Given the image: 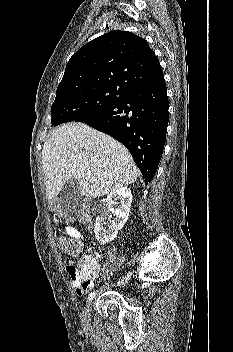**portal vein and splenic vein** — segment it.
Returning <instances> with one entry per match:
<instances>
[{"label":"portal vein and splenic vein","mask_w":233,"mask_h":352,"mask_svg":"<svg viewBox=\"0 0 233 352\" xmlns=\"http://www.w3.org/2000/svg\"><path fill=\"white\" fill-rule=\"evenodd\" d=\"M86 173H87L88 175H90V174H91V171H90V170H87Z\"/></svg>","instance_id":"obj_1"}]
</instances>
